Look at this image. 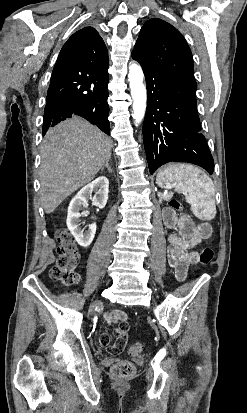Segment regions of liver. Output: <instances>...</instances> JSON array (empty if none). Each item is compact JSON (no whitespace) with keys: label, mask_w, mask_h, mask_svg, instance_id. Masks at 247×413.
Here are the masks:
<instances>
[{"label":"liver","mask_w":247,"mask_h":413,"mask_svg":"<svg viewBox=\"0 0 247 413\" xmlns=\"http://www.w3.org/2000/svg\"><path fill=\"white\" fill-rule=\"evenodd\" d=\"M112 146L110 136L80 116L49 128L41 146L39 170L45 213H53L68 194L90 182L111 158Z\"/></svg>","instance_id":"6515ba94"}]
</instances>
